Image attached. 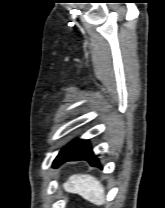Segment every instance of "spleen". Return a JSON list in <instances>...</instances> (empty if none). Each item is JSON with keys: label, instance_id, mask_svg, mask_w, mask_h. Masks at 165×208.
<instances>
[{"label": "spleen", "instance_id": "spleen-1", "mask_svg": "<svg viewBox=\"0 0 165 208\" xmlns=\"http://www.w3.org/2000/svg\"><path fill=\"white\" fill-rule=\"evenodd\" d=\"M63 187L65 191L79 194L95 205H101L104 202V187L97 179L90 175H72L63 184Z\"/></svg>", "mask_w": 165, "mask_h": 208}]
</instances>
